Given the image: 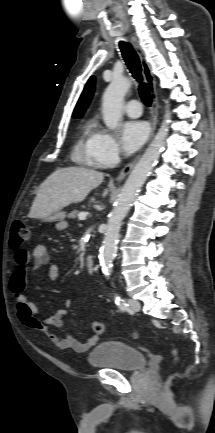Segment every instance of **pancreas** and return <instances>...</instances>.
<instances>
[{"label":"pancreas","instance_id":"pancreas-1","mask_svg":"<svg viewBox=\"0 0 215 433\" xmlns=\"http://www.w3.org/2000/svg\"><path fill=\"white\" fill-rule=\"evenodd\" d=\"M79 211L78 210H74V211H72L69 215H68V217L69 218H76V216H78L79 215Z\"/></svg>","mask_w":215,"mask_h":433}]
</instances>
